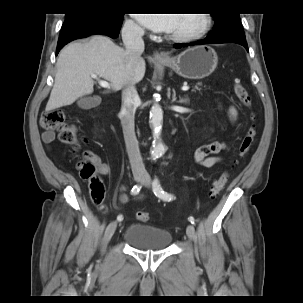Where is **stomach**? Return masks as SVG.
<instances>
[{
  "mask_svg": "<svg viewBox=\"0 0 303 303\" xmlns=\"http://www.w3.org/2000/svg\"><path fill=\"white\" fill-rule=\"evenodd\" d=\"M217 63L216 52L206 45L188 48L178 56L159 62L186 79H203L209 76L215 70Z\"/></svg>",
  "mask_w": 303,
  "mask_h": 303,
  "instance_id": "stomach-1",
  "label": "stomach"
}]
</instances>
